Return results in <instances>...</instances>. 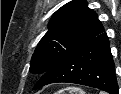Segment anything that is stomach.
I'll return each instance as SVG.
<instances>
[{
	"instance_id": "obj_1",
	"label": "stomach",
	"mask_w": 121,
	"mask_h": 94,
	"mask_svg": "<svg viewBox=\"0 0 121 94\" xmlns=\"http://www.w3.org/2000/svg\"><path fill=\"white\" fill-rule=\"evenodd\" d=\"M55 94H86L82 89L77 87H67L62 90H59Z\"/></svg>"
}]
</instances>
